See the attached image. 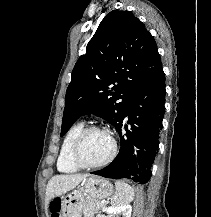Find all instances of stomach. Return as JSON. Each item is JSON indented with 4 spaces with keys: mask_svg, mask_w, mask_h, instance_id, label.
I'll return each mask as SVG.
<instances>
[{
    "mask_svg": "<svg viewBox=\"0 0 211 217\" xmlns=\"http://www.w3.org/2000/svg\"><path fill=\"white\" fill-rule=\"evenodd\" d=\"M112 194L113 185L109 180L90 176L62 199L58 217H81L86 199H104Z\"/></svg>",
    "mask_w": 211,
    "mask_h": 217,
    "instance_id": "stomach-1",
    "label": "stomach"
}]
</instances>
